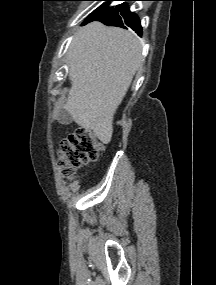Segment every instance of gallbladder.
<instances>
[{"mask_svg":"<svg viewBox=\"0 0 216 285\" xmlns=\"http://www.w3.org/2000/svg\"><path fill=\"white\" fill-rule=\"evenodd\" d=\"M58 121L62 124H70L73 121L71 114L64 108L59 110Z\"/></svg>","mask_w":216,"mask_h":285,"instance_id":"1","label":"gallbladder"}]
</instances>
